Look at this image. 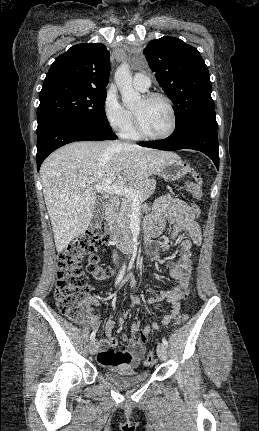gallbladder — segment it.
<instances>
[{
	"label": "gallbladder",
	"mask_w": 259,
	"mask_h": 431,
	"mask_svg": "<svg viewBox=\"0 0 259 431\" xmlns=\"http://www.w3.org/2000/svg\"><path fill=\"white\" fill-rule=\"evenodd\" d=\"M104 218V203L101 200L96 201L95 209L91 219V225L97 226L99 225Z\"/></svg>",
	"instance_id": "1"
}]
</instances>
